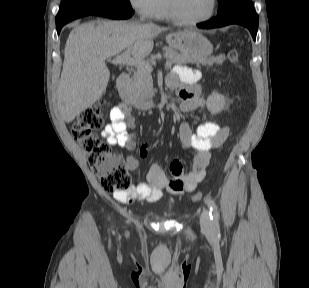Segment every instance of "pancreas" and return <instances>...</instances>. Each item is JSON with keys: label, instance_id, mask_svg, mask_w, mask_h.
Wrapping results in <instances>:
<instances>
[{"label": "pancreas", "instance_id": "1", "mask_svg": "<svg viewBox=\"0 0 309 288\" xmlns=\"http://www.w3.org/2000/svg\"><path fill=\"white\" fill-rule=\"evenodd\" d=\"M163 50L165 52L166 60L170 65L192 63L212 67L215 64H222L226 59L225 55L190 57L188 55L178 53L169 47H164ZM129 91L132 101L135 103H144L151 99L155 94L151 72L145 69H137L134 71L129 85Z\"/></svg>", "mask_w": 309, "mask_h": 288}]
</instances>
